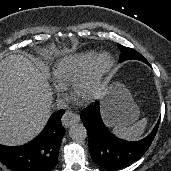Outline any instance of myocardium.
Segmentation results:
<instances>
[{"instance_id": "1", "label": "myocardium", "mask_w": 171, "mask_h": 171, "mask_svg": "<svg viewBox=\"0 0 171 171\" xmlns=\"http://www.w3.org/2000/svg\"><path fill=\"white\" fill-rule=\"evenodd\" d=\"M114 64L113 56L103 51L96 54L88 67L71 84V97L85 106L98 100L104 89V78Z\"/></svg>"}]
</instances>
